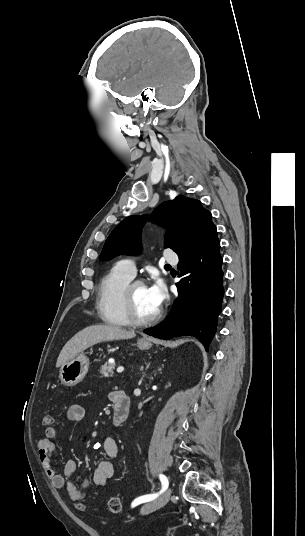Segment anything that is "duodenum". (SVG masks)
Segmentation results:
<instances>
[{
  "label": "duodenum",
  "mask_w": 305,
  "mask_h": 536,
  "mask_svg": "<svg viewBox=\"0 0 305 536\" xmlns=\"http://www.w3.org/2000/svg\"><path fill=\"white\" fill-rule=\"evenodd\" d=\"M130 400L125 392L116 391L113 394V418L116 425L122 424L129 416Z\"/></svg>",
  "instance_id": "duodenum-1"
}]
</instances>
